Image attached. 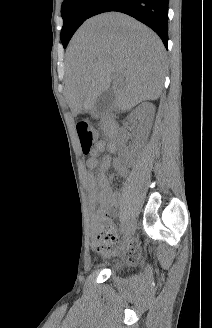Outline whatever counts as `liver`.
<instances>
[{
	"mask_svg": "<svg viewBox=\"0 0 212 328\" xmlns=\"http://www.w3.org/2000/svg\"><path fill=\"white\" fill-rule=\"evenodd\" d=\"M165 49L156 33L121 13L94 16L78 29L66 55L65 97L74 116L112 85L127 111L161 94Z\"/></svg>",
	"mask_w": 212,
	"mask_h": 328,
	"instance_id": "1",
	"label": "liver"
}]
</instances>
